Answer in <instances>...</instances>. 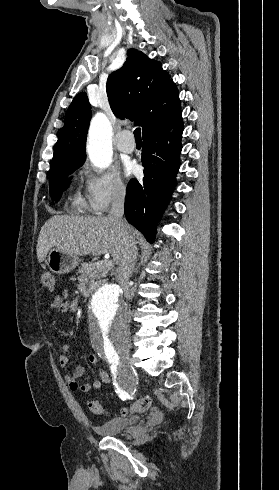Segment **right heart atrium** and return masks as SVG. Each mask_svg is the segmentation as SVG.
I'll return each mask as SVG.
<instances>
[{
	"mask_svg": "<svg viewBox=\"0 0 279 490\" xmlns=\"http://www.w3.org/2000/svg\"><path fill=\"white\" fill-rule=\"evenodd\" d=\"M84 188V208L92 216L103 215L113 203L121 201L127 192L126 184L113 170L95 171L86 165L80 171Z\"/></svg>",
	"mask_w": 279,
	"mask_h": 490,
	"instance_id": "1",
	"label": "right heart atrium"
}]
</instances>
